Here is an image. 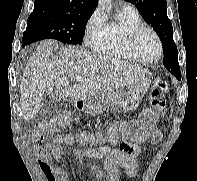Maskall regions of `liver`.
I'll list each match as a JSON object with an SVG mask.
<instances>
[{"instance_id":"liver-1","label":"liver","mask_w":197,"mask_h":181,"mask_svg":"<svg viewBox=\"0 0 197 181\" xmlns=\"http://www.w3.org/2000/svg\"><path fill=\"white\" fill-rule=\"evenodd\" d=\"M58 47L55 40L42 41L23 70L20 106L26 121L40 111L43 95L47 92H54L60 99L86 100L152 75L139 65L81 51L74 46H66L58 56L50 59ZM76 75L86 81L71 85L70 79Z\"/></svg>"}]
</instances>
